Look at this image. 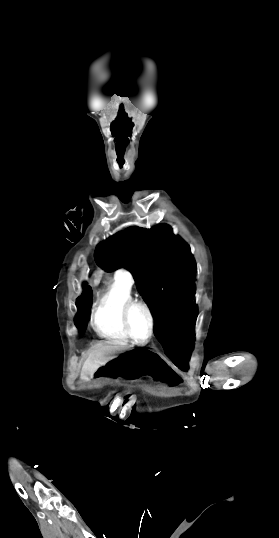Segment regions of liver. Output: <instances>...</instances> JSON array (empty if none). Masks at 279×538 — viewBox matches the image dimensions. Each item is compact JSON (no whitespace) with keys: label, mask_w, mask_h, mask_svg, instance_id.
Listing matches in <instances>:
<instances>
[{"label":"liver","mask_w":279,"mask_h":538,"mask_svg":"<svg viewBox=\"0 0 279 538\" xmlns=\"http://www.w3.org/2000/svg\"><path fill=\"white\" fill-rule=\"evenodd\" d=\"M123 348L124 346L117 344V342H106L104 346H99V344L94 346L89 358L83 364L82 376H89V374L96 372L100 366H104L106 362L115 358L112 354H116L117 350H123Z\"/></svg>","instance_id":"obj_1"}]
</instances>
